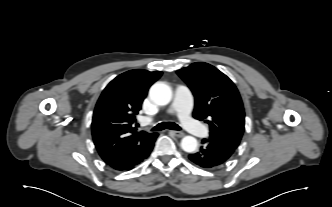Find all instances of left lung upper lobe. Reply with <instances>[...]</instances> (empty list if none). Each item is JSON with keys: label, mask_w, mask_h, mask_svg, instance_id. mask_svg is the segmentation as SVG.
<instances>
[{"label": "left lung upper lobe", "mask_w": 332, "mask_h": 207, "mask_svg": "<svg viewBox=\"0 0 332 207\" xmlns=\"http://www.w3.org/2000/svg\"><path fill=\"white\" fill-rule=\"evenodd\" d=\"M195 97L193 117L210 126V139L234 149L244 131L245 113L234 83L214 66L197 62L177 71Z\"/></svg>", "instance_id": "obj_1"}]
</instances>
